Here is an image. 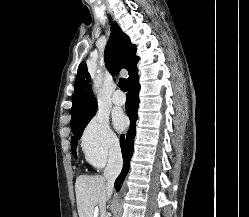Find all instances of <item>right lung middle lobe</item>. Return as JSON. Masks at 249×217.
Here are the masks:
<instances>
[{
  "label": "right lung middle lobe",
  "mask_w": 249,
  "mask_h": 217,
  "mask_svg": "<svg viewBox=\"0 0 249 217\" xmlns=\"http://www.w3.org/2000/svg\"><path fill=\"white\" fill-rule=\"evenodd\" d=\"M95 112L96 110L90 112L89 114L81 118L79 121L71 124V130H72V133L74 134V136H72L71 138V143H72L73 155L75 158L77 156L76 146L78 143V139H80L85 126L88 124L91 118L95 115Z\"/></svg>",
  "instance_id": "right-lung-middle-lobe-1"
}]
</instances>
